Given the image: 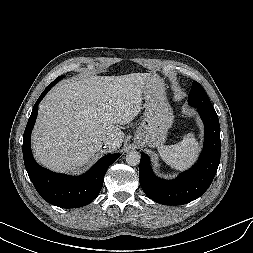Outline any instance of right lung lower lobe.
Here are the masks:
<instances>
[{
	"label": "right lung lower lobe",
	"instance_id": "obj_1",
	"mask_svg": "<svg viewBox=\"0 0 253 253\" xmlns=\"http://www.w3.org/2000/svg\"><path fill=\"white\" fill-rule=\"evenodd\" d=\"M52 82L36 101L24 131L23 158L30 180L40 196L48 203L62 208H77L91 203L99 194L108 167L120 154L101 158L86 174L73 177L51 172L38 165L31 152L30 136L37 117L38 105L54 86Z\"/></svg>",
	"mask_w": 253,
	"mask_h": 253
}]
</instances>
